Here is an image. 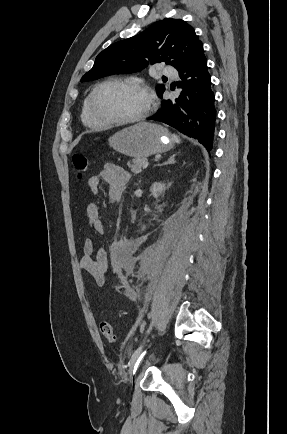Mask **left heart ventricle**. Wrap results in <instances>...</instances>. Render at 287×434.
Returning <instances> with one entry per match:
<instances>
[{"label":"left heart ventricle","instance_id":"obj_1","mask_svg":"<svg viewBox=\"0 0 287 434\" xmlns=\"http://www.w3.org/2000/svg\"><path fill=\"white\" fill-rule=\"evenodd\" d=\"M148 103V96L141 89L111 84L99 91L95 107L104 117L126 119L141 114Z\"/></svg>","mask_w":287,"mask_h":434}]
</instances>
